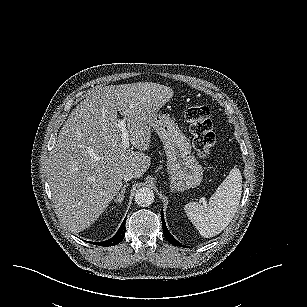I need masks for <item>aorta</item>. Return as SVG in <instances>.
<instances>
[{
	"label": "aorta",
	"instance_id": "aorta-1",
	"mask_svg": "<svg viewBox=\"0 0 307 307\" xmlns=\"http://www.w3.org/2000/svg\"><path fill=\"white\" fill-rule=\"evenodd\" d=\"M154 193L151 188L142 187L135 193V202L141 207H148L154 202Z\"/></svg>",
	"mask_w": 307,
	"mask_h": 307
}]
</instances>
